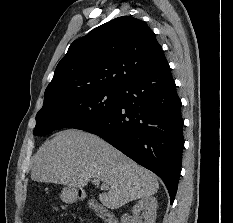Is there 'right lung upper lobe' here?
Returning <instances> with one entry per match:
<instances>
[{
    "label": "right lung upper lobe",
    "mask_w": 233,
    "mask_h": 223,
    "mask_svg": "<svg viewBox=\"0 0 233 223\" xmlns=\"http://www.w3.org/2000/svg\"><path fill=\"white\" fill-rule=\"evenodd\" d=\"M165 64L154 32L139 19L118 17L70 45L46 88L44 104L92 88H121Z\"/></svg>",
    "instance_id": "cb5924a9"
}]
</instances>
